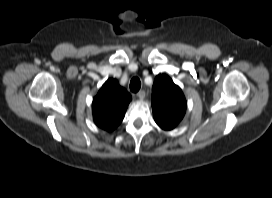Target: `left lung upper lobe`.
I'll use <instances>...</instances> for the list:
<instances>
[{"mask_svg":"<svg viewBox=\"0 0 272 198\" xmlns=\"http://www.w3.org/2000/svg\"><path fill=\"white\" fill-rule=\"evenodd\" d=\"M152 109L156 123L164 130L173 129L183 118L186 100L181 89L167 75H158L152 87Z\"/></svg>","mask_w":272,"mask_h":198,"instance_id":"obj_1","label":"left lung upper lobe"}]
</instances>
